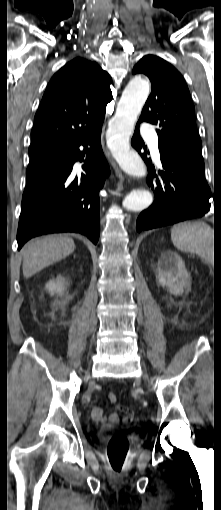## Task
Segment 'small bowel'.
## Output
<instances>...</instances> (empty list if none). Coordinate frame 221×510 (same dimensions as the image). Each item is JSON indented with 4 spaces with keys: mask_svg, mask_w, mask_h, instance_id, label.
I'll use <instances>...</instances> for the list:
<instances>
[{
    "mask_svg": "<svg viewBox=\"0 0 221 510\" xmlns=\"http://www.w3.org/2000/svg\"><path fill=\"white\" fill-rule=\"evenodd\" d=\"M120 409L125 412H130L126 407L123 406H120ZM91 414L96 421L100 422L116 424L119 420L118 415L116 413L105 414L102 407L100 406L93 407Z\"/></svg>",
    "mask_w": 221,
    "mask_h": 510,
    "instance_id": "1",
    "label": "small bowel"
}]
</instances>
